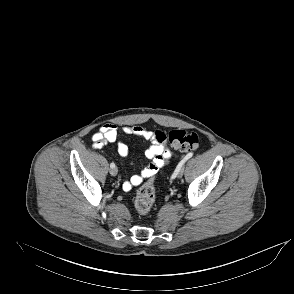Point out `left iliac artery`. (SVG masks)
Instances as JSON below:
<instances>
[{"label": "left iliac artery", "mask_w": 294, "mask_h": 294, "mask_svg": "<svg viewBox=\"0 0 294 294\" xmlns=\"http://www.w3.org/2000/svg\"><path fill=\"white\" fill-rule=\"evenodd\" d=\"M193 156V153L190 152L188 153L177 165L175 172L173 173V175L171 176V179H174L177 175V173L180 171V169L184 166L185 162L190 159Z\"/></svg>", "instance_id": "left-iliac-artery-1"}]
</instances>
